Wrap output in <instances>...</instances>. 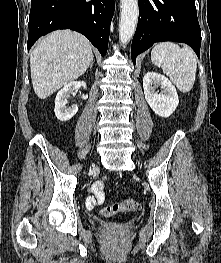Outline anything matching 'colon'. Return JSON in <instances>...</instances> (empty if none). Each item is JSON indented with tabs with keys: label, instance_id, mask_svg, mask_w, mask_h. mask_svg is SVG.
<instances>
[{
	"label": "colon",
	"instance_id": "colon-1",
	"mask_svg": "<svg viewBox=\"0 0 221 263\" xmlns=\"http://www.w3.org/2000/svg\"><path fill=\"white\" fill-rule=\"evenodd\" d=\"M138 207L139 204L135 199L128 198L105 206L102 209V215L109 217L120 213H129L135 211Z\"/></svg>",
	"mask_w": 221,
	"mask_h": 263
}]
</instances>
